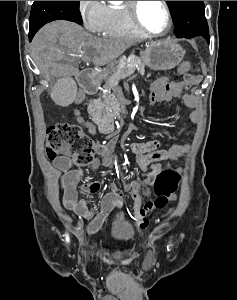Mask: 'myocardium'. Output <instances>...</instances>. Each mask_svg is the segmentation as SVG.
<instances>
[{"label":"myocardium","instance_id":"obj_1","mask_svg":"<svg viewBox=\"0 0 237 300\" xmlns=\"http://www.w3.org/2000/svg\"><path fill=\"white\" fill-rule=\"evenodd\" d=\"M161 2L164 6L165 13H166V26L162 32L156 33V32L149 30L148 28H146L141 21L140 7L142 4V1H128V10H129L131 20H132L133 24L137 27V29H139L142 33L150 35V36H154V37H163L169 33V31L172 27V14H171L170 5H169L168 1H161Z\"/></svg>","mask_w":237,"mask_h":300}]
</instances>
